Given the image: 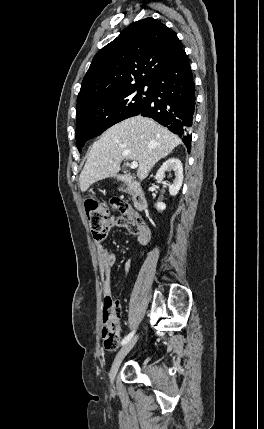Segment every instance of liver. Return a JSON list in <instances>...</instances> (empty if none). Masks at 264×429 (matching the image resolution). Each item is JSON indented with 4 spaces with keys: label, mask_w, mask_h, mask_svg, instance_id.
<instances>
[{
    "label": "liver",
    "mask_w": 264,
    "mask_h": 429,
    "mask_svg": "<svg viewBox=\"0 0 264 429\" xmlns=\"http://www.w3.org/2000/svg\"><path fill=\"white\" fill-rule=\"evenodd\" d=\"M180 143L177 135L150 118L138 115L125 119L106 130L92 145L79 177L81 191L116 176L124 159L138 161L137 176L143 180L156 162Z\"/></svg>",
    "instance_id": "obj_1"
}]
</instances>
